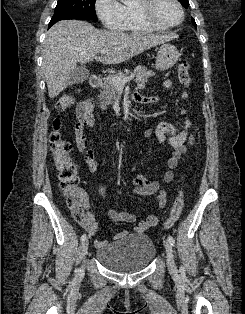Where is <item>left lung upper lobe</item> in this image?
<instances>
[{"instance_id": "5c2ea615", "label": "left lung upper lobe", "mask_w": 245, "mask_h": 314, "mask_svg": "<svg viewBox=\"0 0 245 314\" xmlns=\"http://www.w3.org/2000/svg\"><path fill=\"white\" fill-rule=\"evenodd\" d=\"M185 8L189 7V2L188 0H178ZM192 24L197 27L195 20L192 18Z\"/></svg>"}]
</instances>
